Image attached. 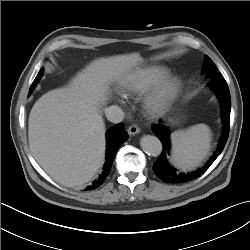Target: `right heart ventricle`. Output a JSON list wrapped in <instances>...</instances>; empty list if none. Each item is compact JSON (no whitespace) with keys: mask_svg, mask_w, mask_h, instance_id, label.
Instances as JSON below:
<instances>
[{"mask_svg":"<svg viewBox=\"0 0 250 250\" xmlns=\"http://www.w3.org/2000/svg\"><path fill=\"white\" fill-rule=\"evenodd\" d=\"M169 75L170 70L161 65L139 68L122 79L118 88L124 96L143 94Z\"/></svg>","mask_w":250,"mask_h":250,"instance_id":"obj_1","label":"right heart ventricle"}]
</instances>
